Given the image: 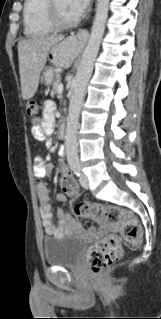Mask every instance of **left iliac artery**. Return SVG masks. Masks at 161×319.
I'll return each instance as SVG.
<instances>
[{"mask_svg":"<svg viewBox=\"0 0 161 319\" xmlns=\"http://www.w3.org/2000/svg\"><path fill=\"white\" fill-rule=\"evenodd\" d=\"M71 170L77 175H80V166L78 164V162H75L71 165Z\"/></svg>","mask_w":161,"mask_h":319,"instance_id":"1","label":"left iliac artery"}]
</instances>
